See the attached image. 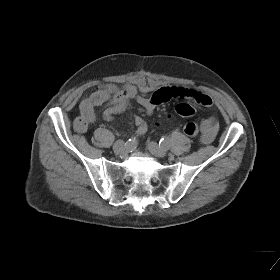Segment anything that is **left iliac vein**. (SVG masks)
Returning a JSON list of instances; mask_svg holds the SVG:
<instances>
[{
    "label": "left iliac vein",
    "instance_id": "1",
    "mask_svg": "<svg viewBox=\"0 0 280 280\" xmlns=\"http://www.w3.org/2000/svg\"><path fill=\"white\" fill-rule=\"evenodd\" d=\"M148 149L156 157H164L167 154V151L164 147L158 145L155 142H149Z\"/></svg>",
    "mask_w": 280,
    "mask_h": 280
}]
</instances>
